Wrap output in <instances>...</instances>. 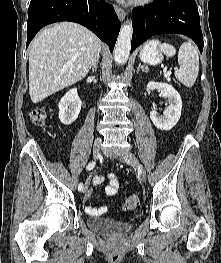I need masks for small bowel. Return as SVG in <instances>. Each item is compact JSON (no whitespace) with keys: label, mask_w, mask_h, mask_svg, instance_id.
I'll use <instances>...</instances> for the list:
<instances>
[{"label":"small bowel","mask_w":221,"mask_h":263,"mask_svg":"<svg viewBox=\"0 0 221 263\" xmlns=\"http://www.w3.org/2000/svg\"><path fill=\"white\" fill-rule=\"evenodd\" d=\"M104 182H107L106 186H105V194L107 196H113L117 193L118 188H119V182L117 180V178L114 176V174L112 173H108L106 175H96L93 178V183L95 185H99L102 184ZM91 196V192L87 191L85 196H84V202L86 203ZM106 210L105 206L102 207H92L89 205H86V211L90 214L93 215H97V214H101Z\"/></svg>","instance_id":"small-bowel-1"}]
</instances>
